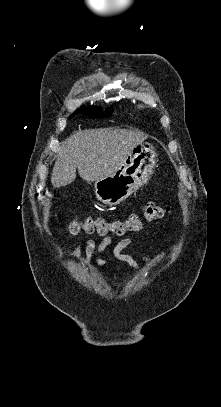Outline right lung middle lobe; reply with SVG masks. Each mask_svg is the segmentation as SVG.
Segmentation results:
<instances>
[{
	"label": "right lung middle lobe",
	"instance_id": "dd1d6c3e",
	"mask_svg": "<svg viewBox=\"0 0 221 407\" xmlns=\"http://www.w3.org/2000/svg\"><path fill=\"white\" fill-rule=\"evenodd\" d=\"M112 110L107 109L106 111H103L100 107H95V106H91V107H81L79 109H77L69 118L73 117L74 115L78 114V113H83L87 116H91V117H106L107 115H111Z\"/></svg>",
	"mask_w": 221,
	"mask_h": 407
}]
</instances>
